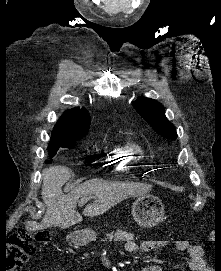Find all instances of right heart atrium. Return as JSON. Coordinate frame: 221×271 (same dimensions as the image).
Segmentation results:
<instances>
[{
	"label": "right heart atrium",
	"mask_w": 221,
	"mask_h": 271,
	"mask_svg": "<svg viewBox=\"0 0 221 271\" xmlns=\"http://www.w3.org/2000/svg\"><path fill=\"white\" fill-rule=\"evenodd\" d=\"M110 155H114V154H107L105 157H106L107 159H110Z\"/></svg>",
	"instance_id": "right-heart-atrium-1"
}]
</instances>
